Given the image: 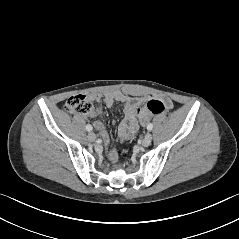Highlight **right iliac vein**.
<instances>
[{"instance_id": "right-iliac-vein-1", "label": "right iliac vein", "mask_w": 239, "mask_h": 239, "mask_svg": "<svg viewBox=\"0 0 239 239\" xmlns=\"http://www.w3.org/2000/svg\"><path fill=\"white\" fill-rule=\"evenodd\" d=\"M87 137L90 141H95L96 140V135L93 132H89Z\"/></svg>"}]
</instances>
